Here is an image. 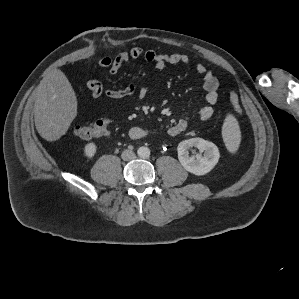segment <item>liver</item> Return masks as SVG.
Returning <instances> with one entry per match:
<instances>
[{"label": "liver", "instance_id": "1", "mask_svg": "<svg viewBox=\"0 0 299 299\" xmlns=\"http://www.w3.org/2000/svg\"><path fill=\"white\" fill-rule=\"evenodd\" d=\"M77 116V98L71 83L59 69L48 72L35 91L34 121L42 138L56 141Z\"/></svg>", "mask_w": 299, "mask_h": 299}]
</instances>
